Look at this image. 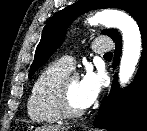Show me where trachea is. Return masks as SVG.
Returning <instances> with one entry per match:
<instances>
[{
	"mask_svg": "<svg viewBox=\"0 0 147 131\" xmlns=\"http://www.w3.org/2000/svg\"><path fill=\"white\" fill-rule=\"evenodd\" d=\"M104 57H106V58L112 57V52L105 53L104 54Z\"/></svg>",
	"mask_w": 147,
	"mask_h": 131,
	"instance_id": "3493384b",
	"label": "trachea"
}]
</instances>
